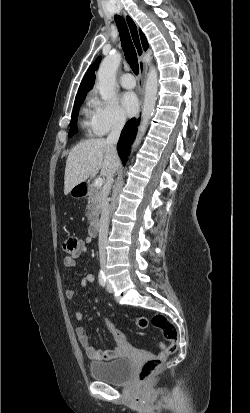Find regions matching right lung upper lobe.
Here are the masks:
<instances>
[{
  "label": "right lung upper lobe",
  "instance_id": "right-lung-upper-lobe-1",
  "mask_svg": "<svg viewBox=\"0 0 250 413\" xmlns=\"http://www.w3.org/2000/svg\"><path fill=\"white\" fill-rule=\"evenodd\" d=\"M139 34H140V38L142 41V45L144 50H147L148 48V42L147 39L145 37V35L143 34V32L139 29ZM101 61V56L98 57L96 59V61L89 67V69L87 70V72L85 73L83 80L80 84L78 93L76 95V97L82 96V95H86V93L92 89L94 82H95V71L98 69L99 63Z\"/></svg>",
  "mask_w": 250,
  "mask_h": 413
}]
</instances>
